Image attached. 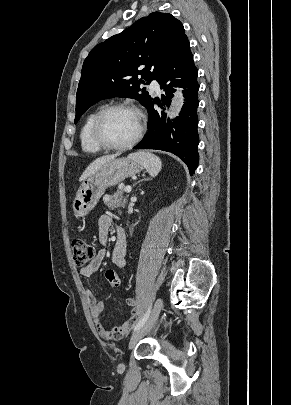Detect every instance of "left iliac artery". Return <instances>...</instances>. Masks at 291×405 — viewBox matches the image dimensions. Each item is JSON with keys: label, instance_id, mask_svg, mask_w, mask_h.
Here are the masks:
<instances>
[{"label": "left iliac artery", "instance_id": "44dca946", "mask_svg": "<svg viewBox=\"0 0 291 405\" xmlns=\"http://www.w3.org/2000/svg\"><path fill=\"white\" fill-rule=\"evenodd\" d=\"M150 311H151V306L149 307V309L147 310V312L144 314V316L139 320V322H138V323L136 324V326L134 327V330H135V331L138 330V329H140V328L145 324V322L147 321V319H148V317H149Z\"/></svg>", "mask_w": 291, "mask_h": 405}]
</instances>
